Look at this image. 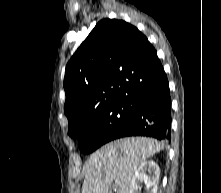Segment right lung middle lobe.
Wrapping results in <instances>:
<instances>
[{"mask_svg": "<svg viewBox=\"0 0 221 193\" xmlns=\"http://www.w3.org/2000/svg\"><path fill=\"white\" fill-rule=\"evenodd\" d=\"M136 99H123L110 103L105 108L79 119L69 130L72 138H79L83 153H91L111 141L128 124L136 111Z\"/></svg>", "mask_w": 221, "mask_h": 193, "instance_id": "obj_1", "label": "right lung middle lobe"}]
</instances>
